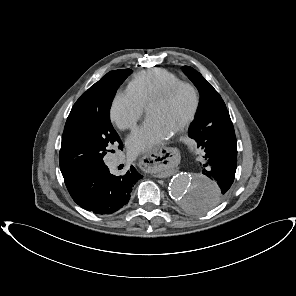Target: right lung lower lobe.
Wrapping results in <instances>:
<instances>
[{"label":"right lung lower lobe","mask_w":296,"mask_h":296,"mask_svg":"<svg viewBox=\"0 0 296 296\" xmlns=\"http://www.w3.org/2000/svg\"><path fill=\"white\" fill-rule=\"evenodd\" d=\"M142 177L133 166L123 176L112 175L103 162L64 181L80 207L95 214H112L129 202L132 187Z\"/></svg>","instance_id":"right-lung-lower-lobe-1"}]
</instances>
